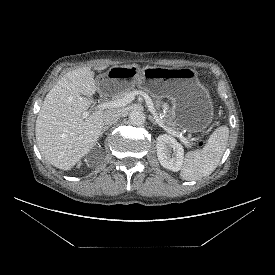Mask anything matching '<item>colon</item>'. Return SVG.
Instances as JSON below:
<instances>
[{
    "mask_svg": "<svg viewBox=\"0 0 275 275\" xmlns=\"http://www.w3.org/2000/svg\"><path fill=\"white\" fill-rule=\"evenodd\" d=\"M206 132H207V130L204 132V134H205ZM203 144H204L203 138H199V140H198V146H199V147H202Z\"/></svg>",
    "mask_w": 275,
    "mask_h": 275,
    "instance_id": "5ec220e1",
    "label": "colon"
}]
</instances>
